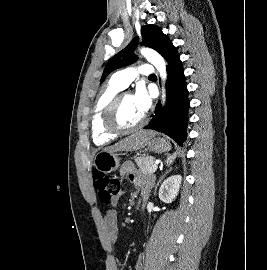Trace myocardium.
<instances>
[{"label":"myocardium","instance_id":"1","mask_svg":"<svg viewBox=\"0 0 267 270\" xmlns=\"http://www.w3.org/2000/svg\"><path fill=\"white\" fill-rule=\"evenodd\" d=\"M129 94L120 93L116 95L113 100L108 105L104 114V127L105 129L115 135H124L132 133L140 128H142L146 123V116L143 115L142 119L135 125L131 127H124L118 121V112L121 102L125 96Z\"/></svg>","mask_w":267,"mask_h":270}]
</instances>
